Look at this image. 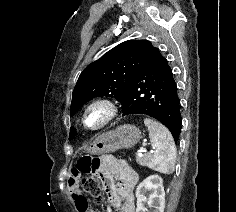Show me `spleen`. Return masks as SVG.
Listing matches in <instances>:
<instances>
[{
    "label": "spleen",
    "mask_w": 236,
    "mask_h": 212,
    "mask_svg": "<svg viewBox=\"0 0 236 212\" xmlns=\"http://www.w3.org/2000/svg\"><path fill=\"white\" fill-rule=\"evenodd\" d=\"M144 124L148 128L150 142L154 149L147 166L160 173H172L175 167L176 147L170 131L151 118H145Z\"/></svg>",
    "instance_id": "3e777b00"
}]
</instances>
